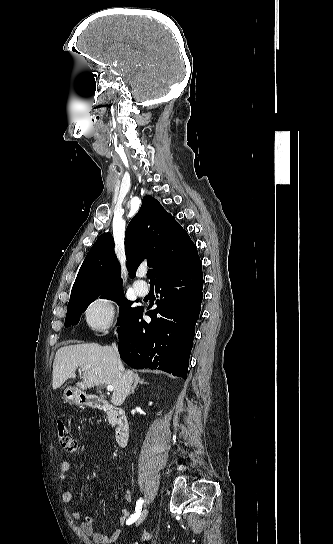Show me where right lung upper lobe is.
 Segmentation results:
<instances>
[{
  "label": "right lung upper lobe",
  "instance_id": "cb5924a9",
  "mask_svg": "<svg viewBox=\"0 0 333 544\" xmlns=\"http://www.w3.org/2000/svg\"><path fill=\"white\" fill-rule=\"evenodd\" d=\"M113 247L110 233L97 239L81 265L70 299L92 291L121 289L120 264ZM125 253L131 277H135L138 266L147 259L156 282L200 262L196 246L187 232L151 196L143 198L140 210L127 227Z\"/></svg>",
  "mask_w": 333,
  "mask_h": 544
}]
</instances>
